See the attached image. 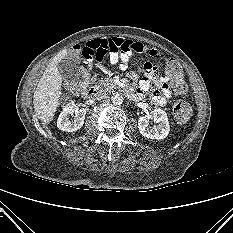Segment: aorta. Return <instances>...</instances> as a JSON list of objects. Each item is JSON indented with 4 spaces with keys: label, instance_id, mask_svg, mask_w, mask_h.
I'll use <instances>...</instances> for the list:
<instances>
[{
    "label": "aorta",
    "instance_id": "762f6f07",
    "mask_svg": "<svg viewBox=\"0 0 233 233\" xmlns=\"http://www.w3.org/2000/svg\"><path fill=\"white\" fill-rule=\"evenodd\" d=\"M123 100H124V96H123L122 93H120V92H114V93H112L111 101L114 104H122Z\"/></svg>",
    "mask_w": 233,
    "mask_h": 233
}]
</instances>
